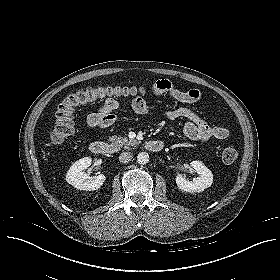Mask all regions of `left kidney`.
I'll return each mask as SVG.
<instances>
[{"label": "left kidney", "instance_id": "5707ae66", "mask_svg": "<svg viewBox=\"0 0 280 280\" xmlns=\"http://www.w3.org/2000/svg\"><path fill=\"white\" fill-rule=\"evenodd\" d=\"M190 166L194 168L198 177L189 181L182 174H178L176 177V184L180 190L189 193H199L212 185L213 174L202 162L192 161Z\"/></svg>", "mask_w": 280, "mask_h": 280}]
</instances>
